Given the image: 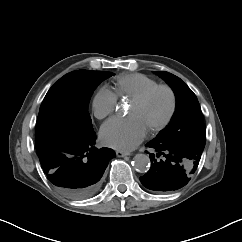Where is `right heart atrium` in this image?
Instances as JSON below:
<instances>
[{
  "instance_id": "1",
  "label": "right heart atrium",
  "mask_w": 242,
  "mask_h": 242,
  "mask_svg": "<svg viewBox=\"0 0 242 242\" xmlns=\"http://www.w3.org/2000/svg\"><path fill=\"white\" fill-rule=\"evenodd\" d=\"M117 105V94L107 87H101L92 99V110L98 119H104L111 115L116 110Z\"/></svg>"
}]
</instances>
